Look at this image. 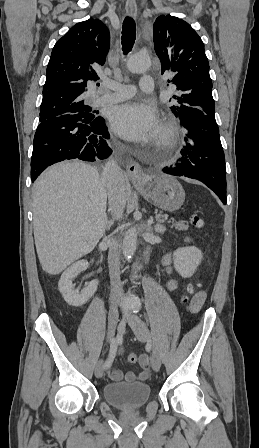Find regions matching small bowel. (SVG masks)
<instances>
[{
	"label": "small bowel",
	"instance_id": "obj_1",
	"mask_svg": "<svg viewBox=\"0 0 259 448\" xmlns=\"http://www.w3.org/2000/svg\"><path fill=\"white\" fill-rule=\"evenodd\" d=\"M189 241V240H188ZM172 263V254H167L162 259V264L165 267L167 273H171ZM177 286V282L174 279H170L166 287L168 290H174ZM206 295L204 292L198 293L192 300L190 308L193 313H197L200 311L204 301H205ZM117 351V350H116ZM121 352V349L118 350ZM139 365L141 367V372L139 374H135L133 372H127L126 374H123L120 370L113 369L109 372V377L113 381H120L123 378L127 382H135V381H144L146 380L150 375V359L147 355H141L139 357Z\"/></svg>",
	"mask_w": 259,
	"mask_h": 448
}]
</instances>
